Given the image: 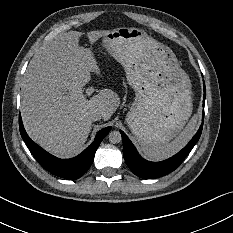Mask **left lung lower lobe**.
Masks as SVG:
<instances>
[{
	"instance_id": "0a47b994",
	"label": "left lung lower lobe",
	"mask_w": 233,
	"mask_h": 233,
	"mask_svg": "<svg viewBox=\"0 0 233 233\" xmlns=\"http://www.w3.org/2000/svg\"><path fill=\"white\" fill-rule=\"evenodd\" d=\"M203 85H204V97H203V107H204L205 97H206V88L204 81H203ZM203 120H204V110H203L202 124L198 132L191 139V141L176 155L161 162H150L143 159L138 154L136 148L129 140V138L126 136V134L123 131H120L123 141V155L126 164L134 174H136L138 177L146 178V179L161 177L174 171L183 162V160L189 154L191 149L198 142L202 133Z\"/></svg>"
}]
</instances>
